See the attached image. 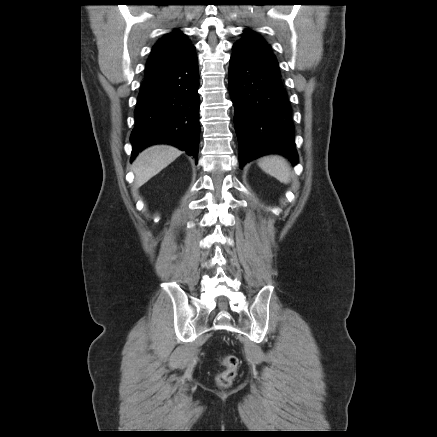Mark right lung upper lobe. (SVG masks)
I'll return each mask as SVG.
<instances>
[{"label":"right lung upper lobe","mask_w":437,"mask_h":437,"mask_svg":"<svg viewBox=\"0 0 437 437\" xmlns=\"http://www.w3.org/2000/svg\"><path fill=\"white\" fill-rule=\"evenodd\" d=\"M195 54V47L179 30L162 37L153 47L147 61L146 76L177 65Z\"/></svg>","instance_id":"cb5924a9"}]
</instances>
